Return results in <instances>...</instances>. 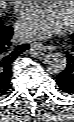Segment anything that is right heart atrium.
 <instances>
[{
  "instance_id": "d8ad5b80",
  "label": "right heart atrium",
  "mask_w": 74,
  "mask_h": 122,
  "mask_svg": "<svg viewBox=\"0 0 74 122\" xmlns=\"http://www.w3.org/2000/svg\"><path fill=\"white\" fill-rule=\"evenodd\" d=\"M10 4L14 7L15 13L18 15H25L33 4V1H9Z\"/></svg>"
}]
</instances>
